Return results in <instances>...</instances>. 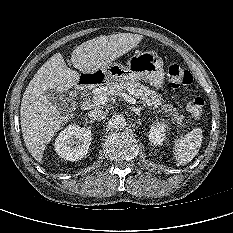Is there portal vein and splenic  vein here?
Segmentation results:
<instances>
[{"label": "portal vein and splenic vein", "instance_id": "18ae733b", "mask_svg": "<svg viewBox=\"0 0 233 233\" xmlns=\"http://www.w3.org/2000/svg\"><path fill=\"white\" fill-rule=\"evenodd\" d=\"M114 92H109V93H101L93 98V103L95 105H104L109 101L110 96L114 95ZM119 95H121L124 99H126L130 104H136L135 98L127 95L124 92H118Z\"/></svg>", "mask_w": 233, "mask_h": 233}]
</instances>
